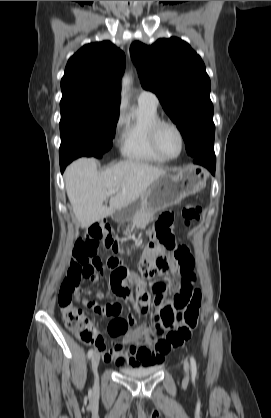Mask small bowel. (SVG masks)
I'll return each mask as SVG.
<instances>
[{"instance_id": "c3829d8e", "label": "small bowel", "mask_w": 271, "mask_h": 418, "mask_svg": "<svg viewBox=\"0 0 271 418\" xmlns=\"http://www.w3.org/2000/svg\"><path fill=\"white\" fill-rule=\"evenodd\" d=\"M102 268V264L98 269ZM179 273V266L174 258L161 256L154 245H150L144 252V259L140 261L138 270L131 273L125 265H118L110 272V287L113 295L118 299H108L107 305H100L98 300L92 303L83 300L85 305L92 307L97 314L105 317L104 326L106 332L110 333L115 340L113 346L106 350L103 342L97 348L102 354L106 363L114 362L118 366L142 367L161 364L170 349L161 350L157 347L162 339L157 333H152L150 326L143 323L133 328V319H128L123 312V301L129 302L133 309L139 314H146L151 307V300L145 289L147 279L155 276H165L170 271ZM92 282L98 281V275L91 279ZM193 282V281H192ZM192 282L189 286L192 287ZM131 285L137 287V293L134 296L131 293ZM166 283L157 282L153 284L154 304L157 308V315L154 320L155 332L162 324L161 314L166 308L174 309V303H169L166 296ZM176 295L181 294L182 285L175 288ZM93 295L103 298V293L95 289ZM129 330V331H128ZM125 333V334H124ZM129 346L125 349V346Z\"/></svg>"}]
</instances>
